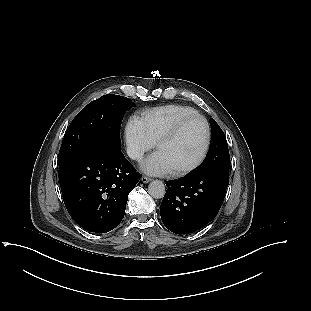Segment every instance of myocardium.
<instances>
[{
    "instance_id": "obj_1",
    "label": "myocardium",
    "mask_w": 311,
    "mask_h": 311,
    "mask_svg": "<svg viewBox=\"0 0 311 311\" xmlns=\"http://www.w3.org/2000/svg\"><path fill=\"white\" fill-rule=\"evenodd\" d=\"M193 120H200L204 125L205 139H204L203 147H202L201 152L199 153L198 157L192 163H190L189 165L184 166L182 168L173 170L172 174L174 176L185 175V174L195 170L204 161V159L208 153V150L210 147V142H211L210 125H209L207 119L198 113L183 117V118L179 119L175 124H173L168 130H166L164 133H162L156 141L155 146H156V148H158V146L161 143L175 138L179 134V132L182 130V128L186 124H188L189 122H191Z\"/></svg>"
}]
</instances>
